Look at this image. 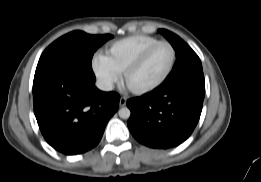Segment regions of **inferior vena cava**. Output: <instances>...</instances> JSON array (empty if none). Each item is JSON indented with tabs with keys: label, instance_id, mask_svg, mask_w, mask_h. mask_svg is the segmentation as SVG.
<instances>
[{
	"label": "inferior vena cava",
	"instance_id": "inferior-vena-cava-1",
	"mask_svg": "<svg viewBox=\"0 0 261 182\" xmlns=\"http://www.w3.org/2000/svg\"><path fill=\"white\" fill-rule=\"evenodd\" d=\"M96 86L98 89L102 91H111L113 90V84L112 82L108 80H97Z\"/></svg>",
	"mask_w": 261,
	"mask_h": 182
}]
</instances>
